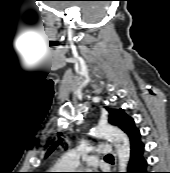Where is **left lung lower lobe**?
<instances>
[{"instance_id": "1", "label": "left lung lower lobe", "mask_w": 170, "mask_h": 173, "mask_svg": "<svg viewBox=\"0 0 170 173\" xmlns=\"http://www.w3.org/2000/svg\"><path fill=\"white\" fill-rule=\"evenodd\" d=\"M127 173H149L147 172V161L144 157V144L142 142L131 148Z\"/></svg>"}]
</instances>
